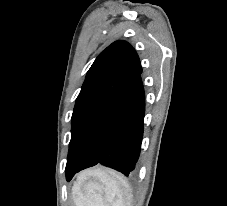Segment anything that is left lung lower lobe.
Instances as JSON below:
<instances>
[{
	"mask_svg": "<svg viewBox=\"0 0 227 206\" xmlns=\"http://www.w3.org/2000/svg\"><path fill=\"white\" fill-rule=\"evenodd\" d=\"M141 73L127 83L104 110L82 160L66 170L70 181L76 172L98 163L126 176L135 169L143 136L145 94Z\"/></svg>",
	"mask_w": 227,
	"mask_h": 206,
	"instance_id": "1",
	"label": "left lung lower lobe"
}]
</instances>
